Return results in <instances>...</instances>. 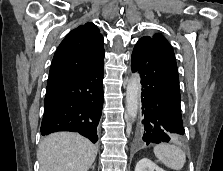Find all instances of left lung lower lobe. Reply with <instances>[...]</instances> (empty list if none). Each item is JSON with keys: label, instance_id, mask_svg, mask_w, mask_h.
Instances as JSON below:
<instances>
[{"label": "left lung lower lobe", "instance_id": "left-lung-lower-lobe-1", "mask_svg": "<svg viewBox=\"0 0 223 171\" xmlns=\"http://www.w3.org/2000/svg\"><path fill=\"white\" fill-rule=\"evenodd\" d=\"M131 67L142 84V121L136 140L140 145L181 139L180 87L176 63L153 44L138 41Z\"/></svg>", "mask_w": 223, "mask_h": 171}]
</instances>
